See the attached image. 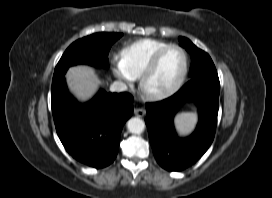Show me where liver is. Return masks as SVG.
Returning <instances> with one entry per match:
<instances>
[{
	"instance_id": "liver-1",
	"label": "liver",
	"mask_w": 272,
	"mask_h": 198,
	"mask_svg": "<svg viewBox=\"0 0 272 198\" xmlns=\"http://www.w3.org/2000/svg\"><path fill=\"white\" fill-rule=\"evenodd\" d=\"M71 93L80 102L89 100L98 90L101 80L94 68L87 65L71 67L66 74Z\"/></svg>"
}]
</instances>
